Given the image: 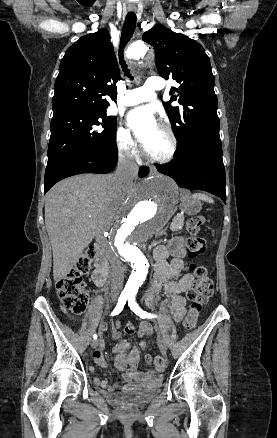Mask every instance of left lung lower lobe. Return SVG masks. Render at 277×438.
<instances>
[{"mask_svg": "<svg viewBox=\"0 0 277 438\" xmlns=\"http://www.w3.org/2000/svg\"><path fill=\"white\" fill-rule=\"evenodd\" d=\"M159 172L172 177L182 188L208 191L226 203L225 169L219 128H212L185 156L170 164L156 165Z\"/></svg>", "mask_w": 277, "mask_h": 438, "instance_id": "obj_1", "label": "left lung lower lobe"}]
</instances>
